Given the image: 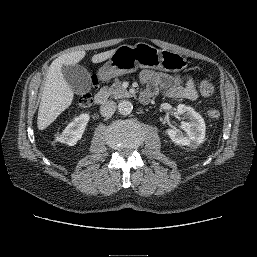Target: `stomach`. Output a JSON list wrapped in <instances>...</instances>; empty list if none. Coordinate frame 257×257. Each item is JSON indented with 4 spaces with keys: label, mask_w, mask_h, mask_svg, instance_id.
Wrapping results in <instances>:
<instances>
[{
    "label": "stomach",
    "mask_w": 257,
    "mask_h": 257,
    "mask_svg": "<svg viewBox=\"0 0 257 257\" xmlns=\"http://www.w3.org/2000/svg\"><path fill=\"white\" fill-rule=\"evenodd\" d=\"M139 67L177 72L187 67L182 55L168 50H159L146 43L134 46L122 45L99 70L102 79H110L135 72Z\"/></svg>",
    "instance_id": "stomach-1"
}]
</instances>
